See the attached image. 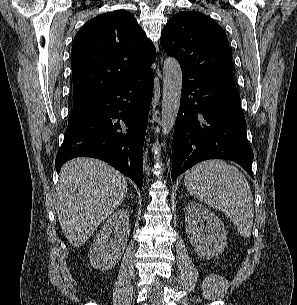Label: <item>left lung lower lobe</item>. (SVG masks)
I'll return each instance as SVG.
<instances>
[{"label": "left lung lower lobe", "mask_w": 297, "mask_h": 305, "mask_svg": "<svg viewBox=\"0 0 297 305\" xmlns=\"http://www.w3.org/2000/svg\"><path fill=\"white\" fill-rule=\"evenodd\" d=\"M182 74L172 145V180L196 163L212 158L234 161L254 178L253 151L233 77Z\"/></svg>", "instance_id": "1"}]
</instances>
